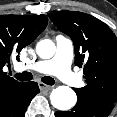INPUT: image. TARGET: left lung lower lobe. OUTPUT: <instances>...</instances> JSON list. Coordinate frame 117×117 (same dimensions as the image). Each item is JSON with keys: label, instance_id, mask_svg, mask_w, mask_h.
<instances>
[{"label": "left lung lower lobe", "instance_id": "1", "mask_svg": "<svg viewBox=\"0 0 117 117\" xmlns=\"http://www.w3.org/2000/svg\"><path fill=\"white\" fill-rule=\"evenodd\" d=\"M78 101L71 111L55 113L56 117H107L114 107L113 103L77 95Z\"/></svg>", "mask_w": 117, "mask_h": 117}]
</instances>
